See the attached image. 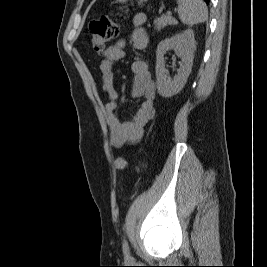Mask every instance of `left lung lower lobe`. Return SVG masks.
Instances as JSON below:
<instances>
[{
	"label": "left lung lower lobe",
	"instance_id": "1",
	"mask_svg": "<svg viewBox=\"0 0 267 267\" xmlns=\"http://www.w3.org/2000/svg\"><path fill=\"white\" fill-rule=\"evenodd\" d=\"M204 1L208 4L210 0H204Z\"/></svg>",
	"mask_w": 267,
	"mask_h": 267
}]
</instances>
